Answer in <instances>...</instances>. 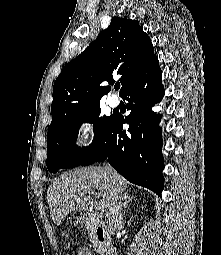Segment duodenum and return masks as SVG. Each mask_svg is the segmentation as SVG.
Masks as SVG:
<instances>
[{
  "instance_id": "1",
  "label": "duodenum",
  "mask_w": 221,
  "mask_h": 255,
  "mask_svg": "<svg viewBox=\"0 0 221 255\" xmlns=\"http://www.w3.org/2000/svg\"><path fill=\"white\" fill-rule=\"evenodd\" d=\"M79 219L83 222H92L93 217L89 213H80ZM93 224L97 242L98 244L104 246V255H118V252L115 248L106 246L104 227L96 220Z\"/></svg>"
}]
</instances>
